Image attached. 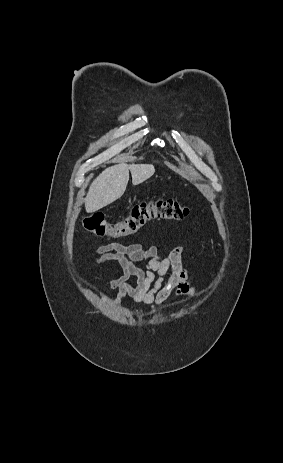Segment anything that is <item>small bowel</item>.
I'll use <instances>...</instances> for the list:
<instances>
[{"instance_id": "small-bowel-1", "label": "small bowel", "mask_w": 283, "mask_h": 463, "mask_svg": "<svg viewBox=\"0 0 283 463\" xmlns=\"http://www.w3.org/2000/svg\"><path fill=\"white\" fill-rule=\"evenodd\" d=\"M185 248L175 247L171 252L162 254L157 247H145L142 243L122 245L110 243L95 250L94 262H116L122 268V274L107 282L110 289L117 291L114 303L119 305L128 296L136 304H143L156 311L168 298L192 297L196 286L188 269L183 266ZM147 262L146 269L135 266V262ZM135 278L136 284L130 283Z\"/></svg>"}]
</instances>
